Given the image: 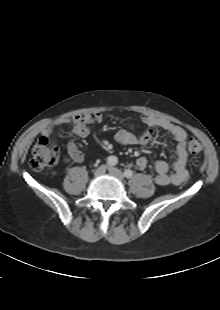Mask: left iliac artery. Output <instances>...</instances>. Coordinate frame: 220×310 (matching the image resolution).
Returning a JSON list of instances; mask_svg holds the SVG:
<instances>
[{
  "label": "left iliac artery",
  "instance_id": "44dca946",
  "mask_svg": "<svg viewBox=\"0 0 220 310\" xmlns=\"http://www.w3.org/2000/svg\"><path fill=\"white\" fill-rule=\"evenodd\" d=\"M124 176H125L126 178H131V177L133 176V171L130 170V169L125 170V171H124Z\"/></svg>",
  "mask_w": 220,
  "mask_h": 310
}]
</instances>
